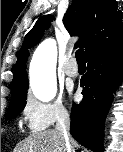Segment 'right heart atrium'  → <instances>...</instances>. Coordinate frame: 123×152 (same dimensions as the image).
I'll use <instances>...</instances> for the list:
<instances>
[{
  "instance_id": "right-heart-atrium-1",
  "label": "right heart atrium",
  "mask_w": 123,
  "mask_h": 152,
  "mask_svg": "<svg viewBox=\"0 0 123 152\" xmlns=\"http://www.w3.org/2000/svg\"><path fill=\"white\" fill-rule=\"evenodd\" d=\"M23 117L30 131L41 132L67 119L69 111L60 99L42 102L28 97L23 107Z\"/></svg>"
}]
</instances>
